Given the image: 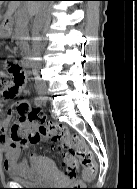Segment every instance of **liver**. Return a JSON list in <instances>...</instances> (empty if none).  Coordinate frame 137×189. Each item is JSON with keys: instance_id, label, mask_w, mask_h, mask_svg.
Listing matches in <instances>:
<instances>
[{"instance_id": "6515ba94", "label": "liver", "mask_w": 137, "mask_h": 189, "mask_svg": "<svg viewBox=\"0 0 137 189\" xmlns=\"http://www.w3.org/2000/svg\"><path fill=\"white\" fill-rule=\"evenodd\" d=\"M1 3V2H0ZM20 2L19 1H11L8 4V10L5 14V18L10 17L13 12L17 9V7H19ZM43 3L40 2H29L28 7H29V11L31 13H36L41 7H42ZM1 19V16H0Z\"/></svg>"}]
</instances>
